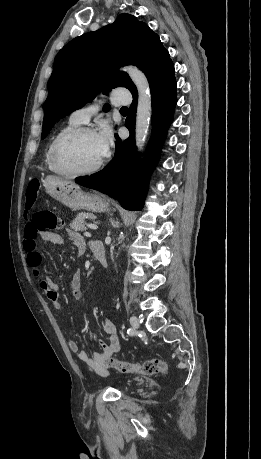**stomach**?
Wrapping results in <instances>:
<instances>
[{"label": "stomach", "instance_id": "obj_1", "mask_svg": "<svg viewBox=\"0 0 261 459\" xmlns=\"http://www.w3.org/2000/svg\"><path fill=\"white\" fill-rule=\"evenodd\" d=\"M47 193L73 211L88 210L104 212L109 210V203L100 194L83 192L71 181L55 176H47L43 180Z\"/></svg>", "mask_w": 261, "mask_h": 459}]
</instances>
